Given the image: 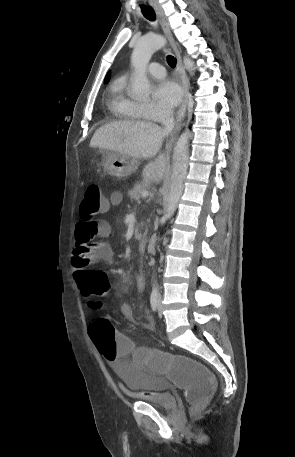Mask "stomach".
Segmentation results:
<instances>
[{"label": "stomach", "mask_w": 295, "mask_h": 457, "mask_svg": "<svg viewBox=\"0 0 295 457\" xmlns=\"http://www.w3.org/2000/svg\"><path fill=\"white\" fill-rule=\"evenodd\" d=\"M103 166L109 175L123 178L134 173L138 167V160L129 155L114 151L103 152Z\"/></svg>", "instance_id": "0dacf381"}]
</instances>
